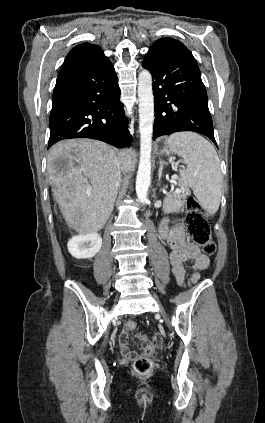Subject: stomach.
<instances>
[{"label": "stomach", "mask_w": 265, "mask_h": 423, "mask_svg": "<svg viewBox=\"0 0 265 423\" xmlns=\"http://www.w3.org/2000/svg\"><path fill=\"white\" fill-rule=\"evenodd\" d=\"M159 156L176 154L169 146L168 139H161L156 147Z\"/></svg>", "instance_id": "1"}]
</instances>
